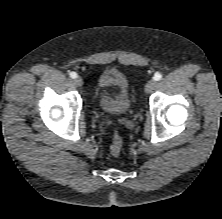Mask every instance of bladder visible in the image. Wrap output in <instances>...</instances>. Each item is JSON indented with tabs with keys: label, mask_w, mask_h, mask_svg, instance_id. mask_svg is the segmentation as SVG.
I'll use <instances>...</instances> for the list:
<instances>
[{
	"label": "bladder",
	"mask_w": 222,
	"mask_h": 219,
	"mask_svg": "<svg viewBox=\"0 0 222 219\" xmlns=\"http://www.w3.org/2000/svg\"><path fill=\"white\" fill-rule=\"evenodd\" d=\"M97 97L100 108L106 113L124 116L131 109L128 80L115 68H107L100 73L97 79Z\"/></svg>",
	"instance_id": "31cf9c89"
}]
</instances>
